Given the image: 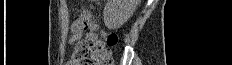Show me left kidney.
<instances>
[{
  "label": "left kidney",
  "instance_id": "1",
  "mask_svg": "<svg viewBox=\"0 0 232 65\" xmlns=\"http://www.w3.org/2000/svg\"><path fill=\"white\" fill-rule=\"evenodd\" d=\"M137 0H108L103 19L108 29L120 28L134 13Z\"/></svg>",
  "mask_w": 232,
  "mask_h": 65
}]
</instances>
